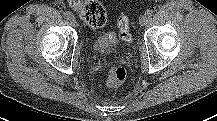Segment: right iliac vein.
Here are the masks:
<instances>
[{"instance_id": "right-iliac-vein-1", "label": "right iliac vein", "mask_w": 217, "mask_h": 121, "mask_svg": "<svg viewBox=\"0 0 217 121\" xmlns=\"http://www.w3.org/2000/svg\"><path fill=\"white\" fill-rule=\"evenodd\" d=\"M70 22L74 27L78 26L77 21L74 18L70 19Z\"/></svg>"}]
</instances>
